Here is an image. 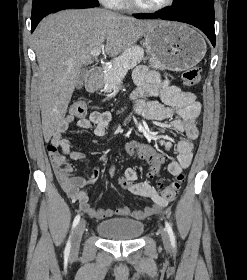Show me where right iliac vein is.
Segmentation results:
<instances>
[{"label": "right iliac vein", "instance_id": "obj_1", "mask_svg": "<svg viewBox=\"0 0 247 280\" xmlns=\"http://www.w3.org/2000/svg\"><path fill=\"white\" fill-rule=\"evenodd\" d=\"M84 230H85V221L82 220L76 227V230H75V233L73 236L72 246H71V252L73 254L77 253L79 250L80 242H81V238L84 233Z\"/></svg>", "mask_w": 247, "mask_h": 280}]
</instances>
